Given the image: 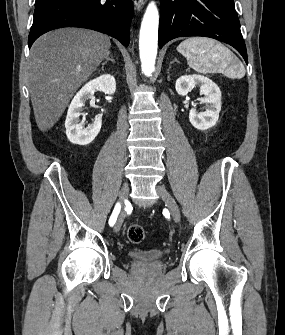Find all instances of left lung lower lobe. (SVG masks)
<instances>
[{
	"label": "left lung lower lobe",
	"mask_w": 285,
	"mask_h": 335,
	"mask_svg": "<svg viewBox=\"0 0 285 335\" xmlns=\"http://www.w3.org/2000/svg\"><path fill=\"white\" fill-rule=\"evenodd\" d=\"M160 1L159 48L177 37H210L233 46L248 63L233 0Z\"/></svg>",
	"instance_id": "obj_1"
}]
</instances>
